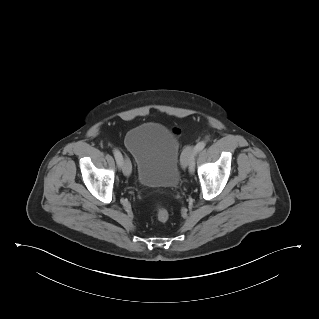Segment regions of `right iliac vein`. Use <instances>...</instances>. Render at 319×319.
Segmentation results:
<instances>
[{
	"label": "right iliac vein",
	"mask_w": 319,
	"mask_h": 319,
	"mask_svg": "<svg viewBox=\"0 0 319 319\" xmlns=\"http://www.w3.org/2000/svg\"><path fill=\"white\" fill-rule=\"evenodd\" d=\"M131 170H132V167H131V163H130L129 159L128 158L123 159L122 171H123L124 175L130 176Z\"/></svg>",
	"instance_id": "1"
}]
</instances>
